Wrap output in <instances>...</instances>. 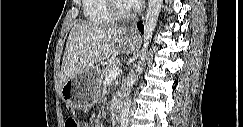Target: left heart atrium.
I'll list each match as a JSON object with an SVG mask.
<instances>
[{
	"mask_svg": "<svg viewBox=\"0 0 243 127\" xmlns=\"http://www.w3.org/2000/svg\"><path fill=\"white\" fill-rule=\"evenodd\" d=\"M126 2L134 6V5H138L139 3H141V0H128Z\"/></svg>",
	"mask_w": 243,
	"mask_h": 127,
	"instance_id": "39dd6f15",
	"label": "left heart atrium"
}]
</instances>
